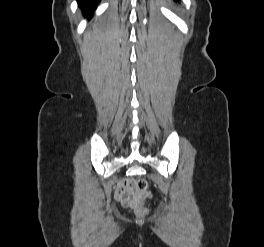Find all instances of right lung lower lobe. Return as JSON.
I'll return each instance as SVG.
<instances>
[{
    "label": "right lung lower lobe",
    "mask_w": 264,
    "mask_h": 247,
    "mask_svg": "<svg viewBox=\"0 0 264 247\" xmlns=\"http://www.w3.org/2000/svg\"><path fill=\"white\" fill-rule=\"evenodd\" d=\"M100 0H78L79 7H81L85 17L90 18V14L97 8Z\"/></svg>",
    "instance_id": "1"
}]
</instances>
